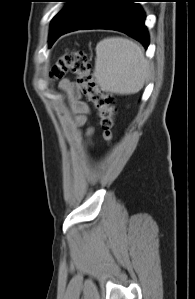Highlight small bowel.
<instances>
[{"instance_id": "1", "label": "small bowel", "mask_w": 195, "mask_h": 299, "mask_svg": "<svg viewBox=\"0 0 195 299\" xmlns=\"http://www.w3.org/2000/svg\"><path fill=\"white\" fill-rule=\"evenodd\" d=\"M61 88L65 90L71 99V104L73 108V112L75 115V125L78 128L84 127L87 125V114H88V106L86 103L80 100V89L79 86L70 81L69 79H65L61 82ZM93 129L91 127H87L86 135L91 136Z\"/></svg>"}]
</instances>
